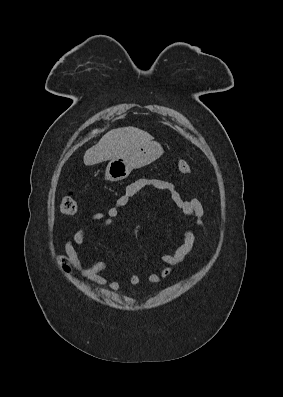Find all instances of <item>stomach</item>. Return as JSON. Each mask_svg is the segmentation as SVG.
Segmentation results:
<instances>
[{
	"mask_svg": "<svg viewBox=\"0 0 283 397\" xmlns=\"http://www.w3.org/2000/svg\"><path fill=\"white\" fill-rule=\"evenodd\" d=\"M163 148L157 142L141 145L124 158L112 159L105 171V178L109 181H120L129 176L133 169L151 164L163 154Z\"/></svg>",
	"mask_w": 283,
	"mask_h": 397,
	"instance_id": "0dacf381",
	"label": "stomach"
}]
</instances>
